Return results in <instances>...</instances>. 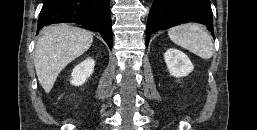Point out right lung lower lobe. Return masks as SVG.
<instances>
[{"mask_svg": "<svg viewBox=\"0 0 257 130\" xmlns=\"http://www.w3.org/2000/svg\"><path fill=\"white\" fill-rule=\"evenodd\" d=\"M56 23H76L99 32L112 49L110 0H45L37 29Z\"/></svg>", "mask_w": 257, "mask_h": 130, "instance_id": "1", "label": "right lung lower lobe"}]
</instances>
